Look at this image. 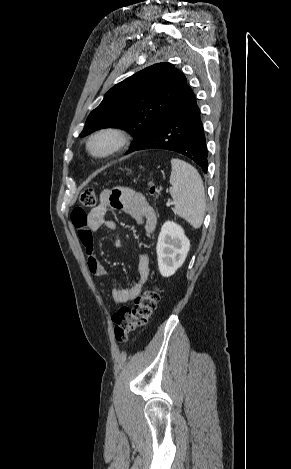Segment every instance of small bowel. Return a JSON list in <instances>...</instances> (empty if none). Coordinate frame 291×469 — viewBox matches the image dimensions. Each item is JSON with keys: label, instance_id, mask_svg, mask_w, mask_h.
I'll use <instances>...</instances> for the list:
<instances>
[{"label": "small bowel", "instance_id": "small-bowel-1", "mask_svg": "<svg viewBox=\"0 0 291 469\" xmlns=\"http://www.w3.org/2000/svg\"><path fill=\"white\" fill-rule=\"evenodd\" d=\"M109 209L121 210L130 215L138 224L144 225L145 232L151 233L156 224V216L148 205L145 197L127 187H118L104 190L100 195L99 204L88 213H72L71 220L75 228L79 230L80 240L87 254V267L91 274L97 277L106 276V269L95 255L92 231L105 226L112 232L117 231V224L113 220L105 218ZM115 246L121 247L122 241L116 238ZM139 279L126 288H115L112 292L116 304H123L136 298L149 278V258L146 253L139 257Z\"/></svg>", "mask_w": 291, "mask_h": 469}]
</instances>
